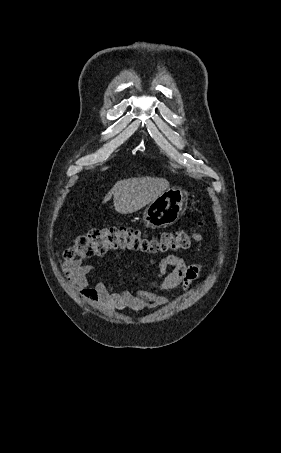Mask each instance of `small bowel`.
<instances>
[{"label":"small bowel","instance_id":"obj_1","mask_svg":"<svg viewBox=\"0 0 281 453\" xmlns=\"http://www.w3.org/2000/svg\"><path fill=\"white\" fill-rule=\"evenodd\" d=\"M59 262L72 286L80 295L100 308L116 311H140L169 304L166 297L151 291L138 293L113 291L105 280L91 279L92 269L82 265L80 259H60ZM168 266L173 269L167 271ZM201 268V263L186 264L180 255H168L163 258L158 267L160 278L158 288L169 291L181 284H189L199 276Z\"/></svg>","mask_w":281,"mask_h":453}]
</instances>
